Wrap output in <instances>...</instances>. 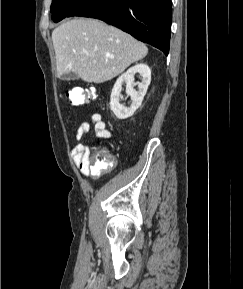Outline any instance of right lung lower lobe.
<instances>
[{"label":"right lung lower lobe","mask_w":243,"mask_h":289,"mask_svg":"<svg viewBox=\"0 0 243 289\" xmlns=\"http://www.w3.org/2000/svg\"><path fill=\"white\" fill-rule=\"evenodd\" d=\"M72 16L103 20L169 53L171 0H85Z\"/></svg>","instance_id":"right-lung-lower-lobe-1"}]
</instances>
